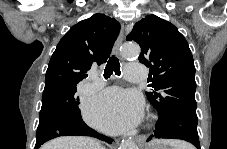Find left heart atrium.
I'll return each instance as SVG.
<instances>
[{
	"instance_id": "1",
	"label": "left heart atrium",
	"mask_w": 227,
	"mask_h": 149,
	"mask_svg": "<svg viewBox=\"0 0 227 149\" xmlns=\"http://www.w3.org/2000/svg\"><path fill=\"white\" fill-rule=\"evenodd\" d=\"M143 112L140 95L118 87L93 97L85 108L86 120L107 133H121L139 123Z\"/></svg>"
}]
</instances>
